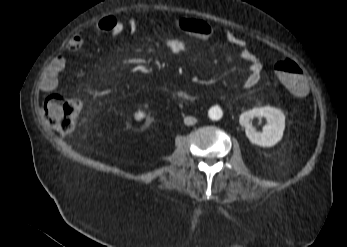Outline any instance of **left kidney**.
<instances>
[{
    "label": "left kidney",
    "instance_id": "5707ae66",
    "mask_svg": "<svg viewBox=\"0 0 347 247\" xmlns=\"http://www.w3.org/2000/svg\"><path fill=\"white\" fill-rule=\"evenodd\" d=\"M266 118L267 125L264 126L263 132H256L252 127L253 118ZM239 122L245 128L248 139L262 147H272L277 144L283 136L285 129V115L275 107H255L252 110L243 112L240 115Z\"/></svg>",
    "mask_w": 347,
    "mask_h": 247
}]
</instances>
